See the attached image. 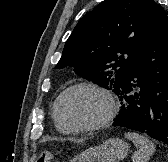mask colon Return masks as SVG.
Wrapping results in <instances>:
<instances>
[{
    "mask_svg": "<svg viewBox=\"0 0 168 162\" xmlns=\"http://www.w3.org/2000/svg\"><path fill=\"white\" fill-rule=\"evenodd\" d=\"M53 158L54 155L52 152L45 151L38 156L36 162H50Z\"/></svg>",
    "mask_w": 168,
    "mask_h": 162,
    "instance_id": "obj_1",
    "label": "colon"
}]
</instances>
